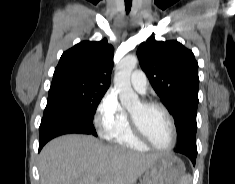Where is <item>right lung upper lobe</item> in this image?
Instances as JSON below:
<instances>
[{
    "label": "right lung upper lobe",
    "mask_w": 235,
    "mask_h": 184,
    "mask_svg": "<svg viewBox=\"0 0 235 184\" xmlns=\"http://www.w3.org/2000/svg\"><path fill=\"white\" fill-rule=\"evenodd\" d=\"M113 55L114 49L106 39L76 44L62 54L50 91L70 84L109 88Z\"/></svg>",
    "instance_id": "obj_1"
}]
</instances>
